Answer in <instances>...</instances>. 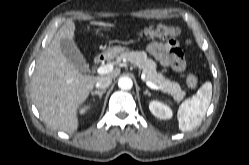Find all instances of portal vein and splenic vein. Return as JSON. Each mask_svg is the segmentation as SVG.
<instances>
[{"label":"portal vein and splenic vein","instance_id":"1","mask_svg":"<svg viewBox=\"0 0 249 165\" xmlns=\"http://www.w3.org/2000/svg\"><path fill=\"white\" fill-rule=\"evenodd\" d=\"M113 71V65L112 64H107V65H103V66H100L98 67L97 69V73L99 75H104V74H108L110 72ZM146 85L148 87H150L151 89H154V90H161L162 88L150 81H146Z\"/></svg>","mask_w":249,"mask_h":165}]
</instances>
